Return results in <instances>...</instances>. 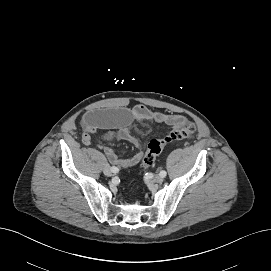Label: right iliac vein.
<instances>
[{"instance_id":"right-iliac-vein-1","label":"right iliac vein","mask_w":271,"mask_h":271,"mask_svg":"<svg viewBox=\"0 0 271 271\" xmlns=\"http://www.w3.org/2000/svg\"><path fill=\"white\" fill-rule=\"evenodd\" d=\"M104 174H105L106 176H112L113 172H112L111 168L105 167V168H104Z\"/></svg>"}]
</instances>
